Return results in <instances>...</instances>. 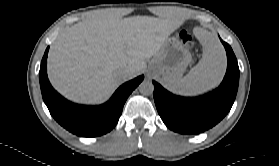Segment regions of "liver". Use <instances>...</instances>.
<instances>
[{
    "label": "liver",
    "mask_w": 279,
    "mask_h": 166,
    "mask_svg": "<svg viewBox=\"0 0 279 166\" xmlns=\"http://www.w3.org/2000/svg\"><path fill=\"white\" fill-rule=\"evenodd\" d=\"M181 24L172 12L165 18L97 15L74 24L50 48L48 78L69 100L99 103L123 80L139 74ZM123 67L132 70L125 79L119 75Z\"/></svg>",
    "instance_id": "obj_1"
}]
</instances>
